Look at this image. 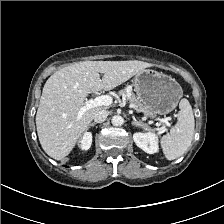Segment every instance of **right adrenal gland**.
I'll list each match as a JSON object with an SVG mask.
<instances>
[{"mask_svg": "<svg viewBox=\"0 0 224 224\" xmlns=\"http://www.w3.org/2000/svg\"><path fill=\"white\" fill-rule=\"evenodd\" d=\"M96 124H97L96 122L90 123L89 127L95 126Z\"/></svg>", "mask_w": 224, "mask_h": 224, "instance_id": "1", "label": "right adrenal gland"}]
</instances>
